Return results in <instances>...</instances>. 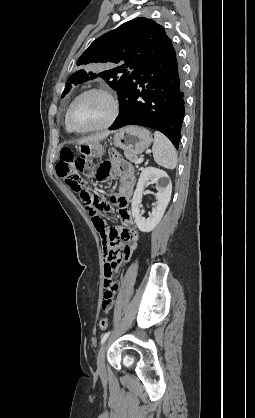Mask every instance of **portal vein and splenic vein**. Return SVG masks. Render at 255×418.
<instances>
[{
  "label": "portal vein and splenic vein",
  "instance_id": "portal-vein-and-splenic-vein-1",
  "mask_svg": "<svg viewBox=\"0 0 255 418\" xmlns=\"http://www.w3.org/2000/svg\"><path fill=\"white\" fill-rule=\"evenodd\" d=\"M143 160H144L143 158H139V159H137V160H136V162H135V163H136V164H140V163H142V162H143Z\"/></svg>",
  "mask_w": 255,
  "mask_h": 418
}]
</instances>
